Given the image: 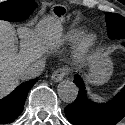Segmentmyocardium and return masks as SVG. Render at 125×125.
I'll return each mask as SVG.
<instances>
[{
	"mask_svg": "<svg viewBox=\"0 0 125 125\" xmlns=\"http://www.w3.org/2000/svg\"><path fill=\"white\" fill-rule=\"evenodd\" d=\"M96 43L97 38L93 34H89L81 38L74 49L73 57L75 61H82L90 50L96 45Z\"/></svg>",
	"mask_w": 125,
	"mask_h": 125,
	"instance_id": "1",
	"label": "myocardium"
}]
</instances>
